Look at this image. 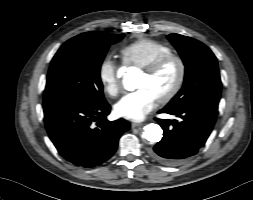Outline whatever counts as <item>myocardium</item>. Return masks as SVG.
Here are the masks:
<instances>
[{"mask_svg": "<svg viewBox=\"0 0 253 200\" xmlns=\"http://www.w3.org/2000/svg\"><path fill=\"white\" fill-rule=\"evenodd\" d=\"M171 62L177 64L178 67L177 77L172 87L157 99L159 103H166L170 101L181 89L186 74L185 62L180 56L172 53L160 57L159 59L153 61L146 67L142 68V71L144 73L148 75H155Z\"/></svg>", "mask_w": 253, "mask_h": 200, "instance_id": "myocardium-1", "label": "myocardium"}]
</instances>
